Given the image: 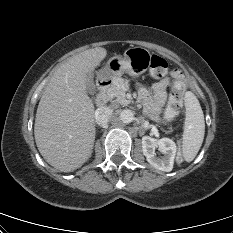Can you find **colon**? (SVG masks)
<instances>
[{"label": "colon", "instance_id": "5ec220e1", "mask_svg": "<svg viewBox=\"0 0 233 233\" xmlns=\"http://www.w3.org/2000/svg\"><path fill=\"white\" fill-rule=\"evenodd\" d=\"M150 73L156 78L164 77L168 71L167 61L157 55H153L150 60ZM185 85L181 80H176L173 85V90L170 94L167 107L164 111L163 118L165 121H171L180 111L183 105V96ZM184 160L183 154L178 153L176 162L182 163Z\"/></svg>", "mask_w": 233, "mask_h": 233}]
</instances>
